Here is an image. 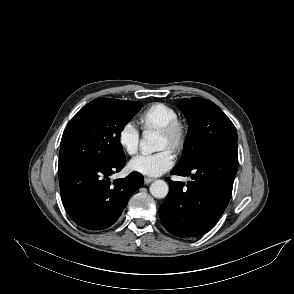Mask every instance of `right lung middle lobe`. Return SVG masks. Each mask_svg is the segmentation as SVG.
Masks as SVG:
<instances>
[{"label": "right lung middle lobe", "instance_id": "dd1d6c3e", "mask_svg": "<svg viewBox=\"0 0 294 294\" xmlns=\"http://www.w3.org/2000/svg\"><path fill=\"white\" fill-rule=\"evenodd\" d=\"M141 107L140 101L109 98H97L88 103L64 130L59 170L125 159L120 135Z\"/></svg>", "mask_w": 294, "mask_h": 294}]
</instances>
